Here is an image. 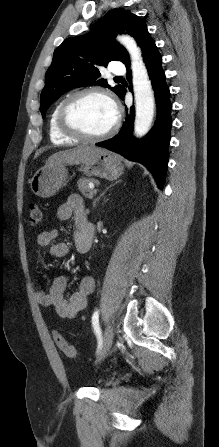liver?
<instances>
[{"label":"liver","mask_w":219,"mask_h":447,"mask_svg":"<svg viewBox=\"0 0 219 447\" xmlns=\"http://www.w3.org/2000/svg\"><path fill=\"white\" fill-rule=\"evenodd\" d=\"M104 149L95 146L81 145L72 149L59 151L52 154L46 161V165L69 164L79 165L92 161L102 153Z\"/></svg>","instance_id":"1"}]
</instances>
